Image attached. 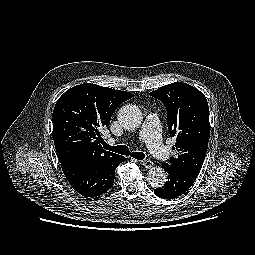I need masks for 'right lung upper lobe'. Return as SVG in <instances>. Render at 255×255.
<instances>
[{
    "instance_id": "1",
    "label": "right lung upper lobe",
    "mask_w": 255,
    "mask_h": 255,
    "mask_svg": "<svg viewBox=\"0 0 255 255\" xmlns=\"http://www.w3.org/2000/svg\"><path fill=\"white\" fill-rule=\"evenodd\" d=\"M133 96L96 84H80L67 90L52 115L53 139L61 165L117 158L118 154L101 146V131L110 124L116 108Z\"/></svg>"
}]
</instances>
